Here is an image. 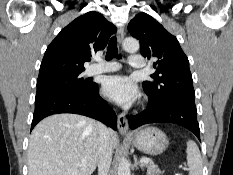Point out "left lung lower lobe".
Returning a JSON list of instances; mask_svg holds the SVG:
<instances>
[{"label":"left lung lower lobe","instance_id":"0a47b994","mask_svg":"<svg viewBox=\"0 0 233 175\" xmlns=\"http://www.w3.org/2000/svg\"><path fill=\"white\" fill-rule=\"evenodd\" d=\"M128 121L131 129L148 123L167 122L178 124L193 132L200 140L194 98L175 97L160 106H155L149 101L147 108L143 112L129 116Z\"/></svg>","mask_w":233,"mask_h":175}]
</instances>
